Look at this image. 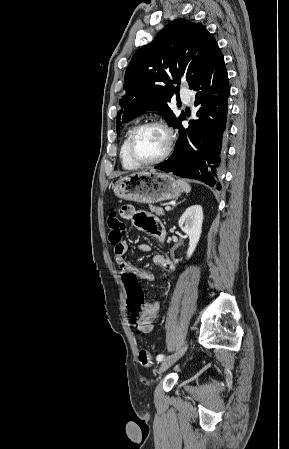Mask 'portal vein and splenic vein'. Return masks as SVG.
Listing matches in <instances>:
<instances>
[{"mask_svg":"<svg viewBox=\"0 0 289 449\" xmlns=\"http://www.w3.org/2000/svg\"><path fill=\"white\" fill-rule=\"evenodd\" d=\"M170 209H171L170 206H166V207H165V210H166V211H169Z\"/></svg>","mask_w":289,"mask_h":449,"instance_id":"18ae733b","label":"portal vein and splenic vein"}]
</instances>
